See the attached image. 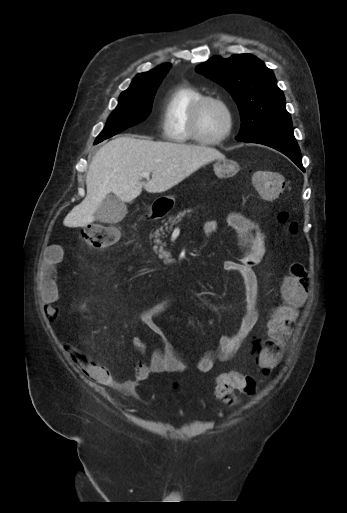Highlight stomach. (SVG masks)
Segmentation results:
<instances>
[{"mask_svg": "<svg viewBox=\"0 0 347 513\" xmlns=\"http://www.w3.org/2000/svg\"><path fill=\"white\" fill-rule=\"evenodd\" d=\"M214 173L219 178H228L235 175L239 170L237 162L230 159H219L213 165ZM174 201L173 197L166 198Z\"/></svg>", "mask_w": 347, "mask_h": 513, "instance_id": "obj_1", "label": "stomach"}]
</instances>
